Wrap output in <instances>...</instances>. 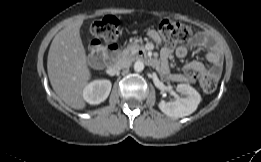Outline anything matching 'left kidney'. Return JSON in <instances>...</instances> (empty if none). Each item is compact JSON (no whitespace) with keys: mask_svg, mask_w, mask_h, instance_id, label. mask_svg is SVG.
Wrapping results in <instances>:
<instances>
[{"mask_svg":"<svg viewBox=\"0 0 261 162\" xmlns=\"http://www.w3.org/2000/svg\"><path fill=\"white\" fill-rule=\"evenodd\" d=\"M176 90L182 94L175 101H161L158 106L160 110L169 117L182 118L196 111L200 101V94L189 84H178Z\"/></svg>","mask_w":261,"mask_h":162,"instance_id":"left-kidney-1","label":"left kidney"}]
</instances>
